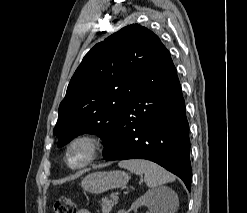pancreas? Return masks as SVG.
Masks as SVG:
<instances>
[{
    "label": "pancreas",
    "instance_id": "obj_1",
    "mask_svg": "<svg viewBox=\"0 0 247 213\" xmlns=\"http://www.w3.org/2000/svg\"><path fill=\"white\" fill-rule=\"evenodd\" d=\"M118 199H113V195L110 198H103L100 202L103 213H109L113 206L117 204Z\"/></svg>",
    "mask_w": 247,
    "mask_h": 213
}]
</instances>
